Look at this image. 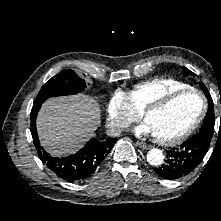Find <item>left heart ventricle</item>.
I'll list each match as a JSON object with an SVG mask.
<instances>
[{
	"instance_id": "1",
	"label": "left heart ventricle",
	"mask_w": 221,
	"mask_h": 221,
	"mask_svg": "<svg viewBox=\"0 0 221 221\" xmlns=\"http://www.w3.org/2000/svg\"><path fill=\"white\" fill-rule=\"evenodd\" d=\"M201 107L202 101L197 94H185L166 108L149 114L145 122L150 126L153 135L172 137L182 132L196 119Z\"/></svg>"
}]
</instances>
